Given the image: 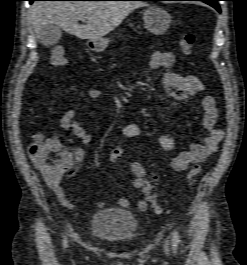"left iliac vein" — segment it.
<instances>
[{"label": "left iliac vein", "mask_w": 247, "mask_h": 265, "mask_svg": "<svg viewBox=\"0 0 247 265\" xmlns=\"http://www.w3.org/2000/svg\"><path fill=\"white\" fill-rule=\"evenodd\" d=\"M165 251L168 252V242H165Z\"/></svg>", "instance_id": "left-iliac-vein-1"}]
</instances>
